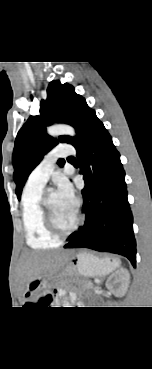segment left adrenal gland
I'll use <instances>...</instances> for the list:
<instances>
[{"label": "left adrenal gland", "instance_id": "obj_1", "mask_svg": "<svg viewBox=\"0 0 152 369\" xmlns=\"http://www.w3.org/2000/svg\"><path fill=\"white\" fill-rule=\"evenodd\" d=\"M103 281V279H101V281H100V284H101V282ZM98 286V285H97Z\"/></svg>", "mask_w": 152, "mask_h": 369}]
</instances>
